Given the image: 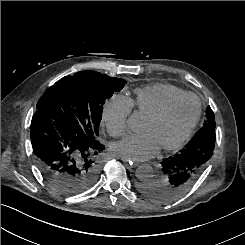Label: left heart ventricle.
<instances>
[{
    "instance_id": "obj_1",
    "label": "left heart ventricle",
    "mask_w": 245,
    "mask_h": 245,
    "mask_svg": "<svg viewBox=\"0 0 245 245\" xmlns=\"http://www.w3.org/2000/svg\"><path fill=\"white\" fill-rule=\"evenodd\" d=\"M197 112L196 99L185 98L174 106L160 119L144 120L142 130L152 134L160 147L178 141L186 132Z\"/></svg>"
}]
</instances>
